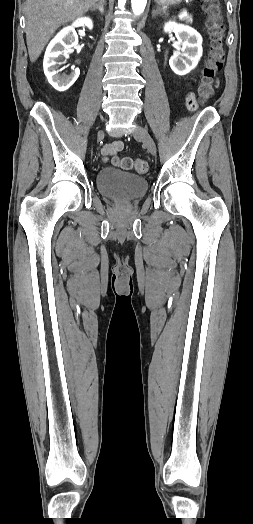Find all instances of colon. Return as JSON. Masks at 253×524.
Instances as JSON below:
<instances>
[{"label": "colon", "instance_id": "colon-1", "mask_svg": "<svg viewBox=\"0 0 253 524\" xmlns=\"http://www.w3.org/2000/svg\"><path fill=\"white\" fill-rule=\"evenodd\" d=\"M203 8L207 11V27L210 37V48L202 73L196 96L199 99H209L213 95V86L224 61V27L215 13V0H201ZM194 111V110H191ZM116 164L124 170L135 169L138 173L148 170V163L143 159L121 158Z\"/></svg>", "mask_w": 253, "mask_h": 524}]
</instances>
